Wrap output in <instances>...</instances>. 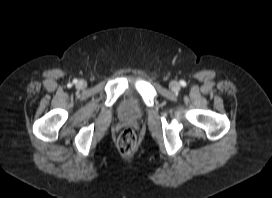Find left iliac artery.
<instances>
[{"label":"left iliac artery","instance_id":"1","mask_svg":"<svg viewBox=\"0 0 272 198\" xmlns=\"http://www.w3.org/2000/svg\"><path fill=\"white\" fill-rule=\"evenodd\" d=\"M181 85H185V82H184V81H182V82H181Z\"/></svg>","mask_w":272,"mask_h":198}]
</instances>
